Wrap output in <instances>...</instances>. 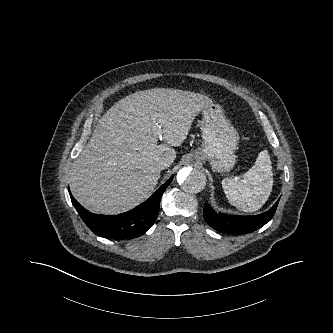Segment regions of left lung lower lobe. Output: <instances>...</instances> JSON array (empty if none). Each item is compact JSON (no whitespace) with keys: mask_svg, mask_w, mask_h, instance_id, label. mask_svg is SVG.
Instances as JSON below:
<instances>
[{"mask_svg":"<svg viewBox=\"0 0 333 333\" xmlns=\"http://www.w3.org/2000/svg\"><path fill=\"white\" fill-rule=\"evenodd\" d=\"M278 202L267 212L256 216L217 214L208 203H205L203 217L211 227L219 232L244 234L253 232L269 222L277 209Z\"/></svg>","mask_w":333,"mask_h":333,"instance_id":"left-lung-lower-lobe-1","label":"left lung lower lobe"}]
</instances>
